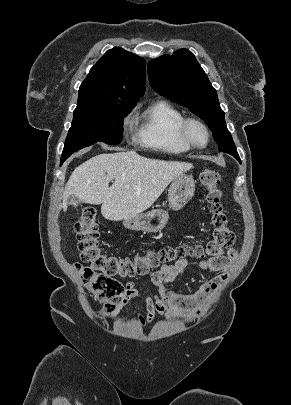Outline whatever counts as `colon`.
<instances>
[{
  "label": "colon",
  "mask_w": 291,
  "mask_h": 405,
  "mask_svg": "<svg viewBox=\"0 0 291 405\" xmlns=\"http://www.w3.org/2000/svg\"><path fill=\"white\" fill-rule=\"evenodd\" d=\"M199 181L207 189L206 198L210 204L214 227L205 246L150 248L127 257L109 255L100 246L96 211L87 208L81 213L75 222L74 231L80 258L87 265L76 264V268L83 284L102 302L106 313L113 314L124 297L125 288L118 278L144 275L161 264L187 255L221 257L224 250L234 244L235 236L227 225L228 219L222 204L219 172L203 168L199 173Z\"/></svg>",
  "instance_id": "1"
}]
</instances>
